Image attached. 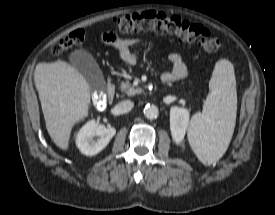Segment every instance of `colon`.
Segmentation results:
<instances>
[{"label":"colon","mask_w":275,"mask_h":215,"mask_svg":"<svg viewBox=\"0 0 275 215\" xmlns=\"http://www.w3.org/2000/svg\"><path fill=\"white\" fill-rule=\"evenodd\" d=\"M114 24L121 33L154 31L173 35L181 42L196 43L206 52L215 53L222 49V42L211 36L202 25L163 12L147 11L125 14L115 18ZM85 36L84 30H75L54 43L51 53L55 56L62 55L73 45L82 43Z\"/></svg>","instance_id":"colon-1"}]
</instances>
